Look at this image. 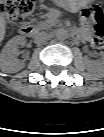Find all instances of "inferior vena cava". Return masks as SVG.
<instances>
[{
	"label": "inferior vena cava",
	"instance_id": "1",
	"mask_svg": "<svg viewBox=\"0 0 104 137\" xmlns=\"http://www.w3.org/2000/svg\"><path fill=\"white\" fill-rule=\"evenodd\" d=\"M48 39V34L46 32H36L34 36L35 43H42Z\"/></svg>",
	"mask_w": 104,
	"mask_h": 137
}]
</instances>
